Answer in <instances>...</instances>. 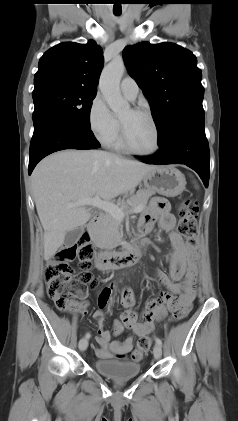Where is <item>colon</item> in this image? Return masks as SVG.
<instances>
[{"mask_svg": "<svg viewBox=\"0 0 238 421\" xmlns=\"http://www.w3.org/2000/svg\"><path fill=\"white\" fill-rule=\"evenodd\" d=\"M197 204L192 200H184L179 207L178 232L185 238L191 247L197 244L196 215ZM94 256V248L88 238L83 237L71 246L61 247L48 261L45 270L47 291L55 306L63 312H73L81 308L77 302L78 297L86 294L89 287L97 285L89 272L91 260ZM79 259L80 273L76 276L70 262ZM191 309L188 305H177L172 310L171 320L179 322L187 317ZM152 340L149 336H141L131 359L140 361L151 347ZM124 356V355H123Z\"/></svg>", "mask_w": 238, "mask_h": 421, "instance_id": "obj_1", "label": "colon"}]
</instances>
